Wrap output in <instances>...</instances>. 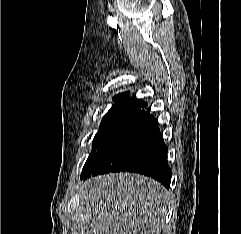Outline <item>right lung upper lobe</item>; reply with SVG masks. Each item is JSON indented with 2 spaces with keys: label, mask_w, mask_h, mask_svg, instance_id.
I'll return each mask as SVG.
<instances>
[{
  "label": "right lung upper lobe",
  "mask_w": 241,
  "mask_h": 234,
  "mask_svg": "<svg viewBox=\"0 0 241 234\" xmlns=\"http://www.w3.org/2000/svg\"><path fill=\"white\" fill-rule=\"evenodd\" d=\"M129 95V92H125L122 94H118L113 98V100H116L117 103L114 105H135V106H140L143 101L142 100H134L133 98L129 97L126 98V96Z\"/></svg>",
  "instance_id": "obj_1"
}]
</instances>
